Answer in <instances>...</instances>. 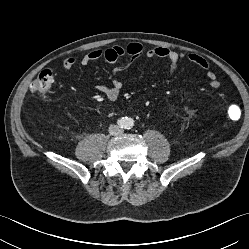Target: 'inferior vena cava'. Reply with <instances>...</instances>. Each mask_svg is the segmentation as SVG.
I'll list each match as a JSON object with an SVG mask.
<instances>
[{
	"mask_svg": "<svg viewBox=\"0 0 249 249\" xmlns=\"http://www.w3.org/2000/svg\"><path fill=\"white\" fill-rule=\"evenodd\" d=\"M121 129L117 125H110L109 132L111 135H118L121 133Z\"/></svg>",
	"mask_w": 249,
	"mask_h": 249,
	"instance_id": "602c4592",
	"label": "inferior vena cava"
}]
</instances>
